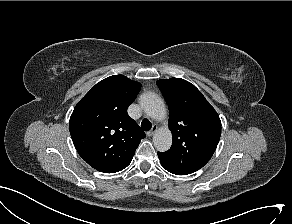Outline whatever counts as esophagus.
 I'll return each instance as SVG.
<instances>
[{"instance_id":"34e87169","label":"esophagus","mask_w":292,"mask_h":224,"mask_svg":"<svg viewBox=\"0 0 292 224\" xmlns=\"http://www.w3.org/2000/svg\"><path fill=\"white\" fill-rule=\"evenodd\" d=\"M158 130V126L154 125L150 131L147 132L148 136H153L154 133Z\"/></svg>"}]
</instances>
